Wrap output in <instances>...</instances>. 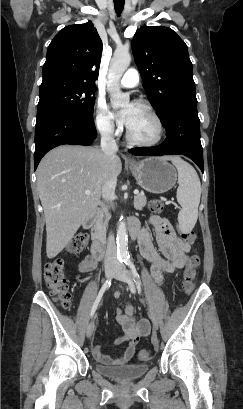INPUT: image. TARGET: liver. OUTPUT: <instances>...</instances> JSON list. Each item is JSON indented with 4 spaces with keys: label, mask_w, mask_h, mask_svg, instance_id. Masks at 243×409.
<instances>
[{
    "label": "liver",
    "mask_w": 243,
    "mask_h": 409,
    "mask_svg": "<svg viewBox=\"0 0 243 409\" xmlns=\"http://www.w3.org/2000/svg\"><path fill=\"white\" fill-rule=\"evenodd\" d=\"M120 158L100 149L61 145L49 151L37 168V190L46 221V253L56 257L100 204L108 178L121 173ZM90 190V194H85Z\"/></svg>",
    "instance_id": "liver-1"
}]
</instances>
